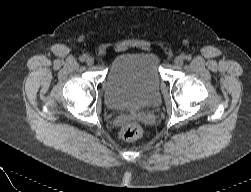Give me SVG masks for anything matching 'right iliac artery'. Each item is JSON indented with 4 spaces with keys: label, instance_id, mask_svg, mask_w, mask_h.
<instances>
[{
    "label": "right iliac artery",
    "instance_id": "1",
    "mask_svg": "<svg viewBox=\"0 0 251 192\" xmlns=\"http://www.w3.org/2000/svg\"><path fill=\"white\" fill-rule=\"evenodd\" d=\"M86 58H87L86 55H82V56L79 58V60H80L81 62H84V61L86 60Z\"/></svg>",
    "mask_w": 251,
    "mask_h": 192
}]
</instances>
